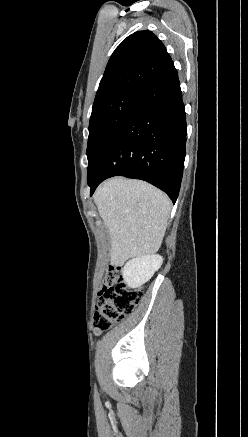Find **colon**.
<instances>
[{"label": "colon", "instance_id": "1", "mask_svg": "<svg viewBox=\"0 0 248 437\" xmlns=\"http://www.w3.org/2000/svg\"><path fill=\"white\" fill-rule=\"evenodd\" d=\"M143 298L141 289H129L123 278L122 266L111 265L103 277L94 314V325L105 330L123 320Z\"/></svg>", "mask_w": 248, "mask_h": 437}]
</instances>
